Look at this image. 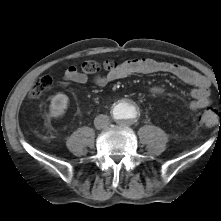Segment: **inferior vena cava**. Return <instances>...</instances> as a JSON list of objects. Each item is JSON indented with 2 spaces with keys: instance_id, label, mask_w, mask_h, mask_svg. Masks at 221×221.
Listing matches in <instances>:
<instances>
[{
  "instance_id": "inferior-vena-cava-1",
  "label": "inferior vena cava",
  "mask_w": 221,
  "mask_h": 221,
  "mask_svg": "<svg viewBox=\"0 0 221 221\" xmlns=\"http://www.w3.org/2000/svg\"><path fill=\"white\" fill-rule=\"evenodd\" d=\"M109 123V117L103 114L96 116L94 120V125L97 129H104L109 125Z\"/></svg>"
}]
</instances>
